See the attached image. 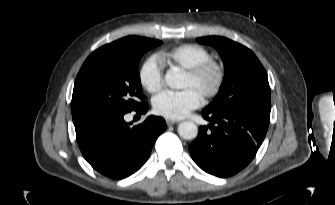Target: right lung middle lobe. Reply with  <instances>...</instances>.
<instances>
[{
    "mask_svg": "<svg viewBox=\"0 0 335 205\" xmlns=\"http://www.w3.org/2000/svg\"><path fill=\"white\" fill-rule=\"evenodd\" d=\"M158 40L128 36L94 51L82 65L74 84L72 119L117 115L140 108L144 102L138 64Z\"/></svg>",
    "mask_w": 335,
    "mask_h": 205,
    "instance_id": "dd1d6c3e",
    "label": "right lung middle lobe"
}]
</instances>
